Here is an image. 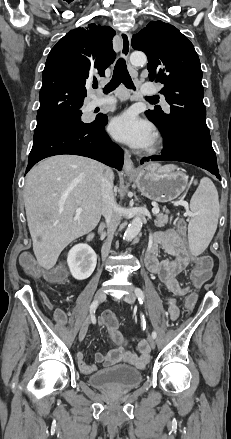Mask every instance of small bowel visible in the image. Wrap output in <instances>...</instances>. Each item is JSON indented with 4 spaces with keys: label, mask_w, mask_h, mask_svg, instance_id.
Segmentation results:
<instances>
[{
    "label": "small bowel",
    "mask_w": 231,
    "mask_h": 439,
    "mask_svg": "<svg viewBox=\"0 0 231 439\" xmlns=\"http://www.w3.org/2000/svg\"><path fill=\"white\" fill-rule=\"evenodd\" d=\"M160 247L163 248L170 258L159 260L158 253ZM190 260L191 256L185 239L179 231L170 229L155 232L147 243L145 265L171 294L167 297L166 303L172 320L177 319L179 316L177 297L188 293V288L178 281L177 276L185 270ZM54 317L60 324L67 322V316L62 309H56ZM100 322L106 328L112 342L115 344V348L107 353H97L95 356L96 362L106 366L125 363L137 368H144L149 360L147 343L143 340L138 343L140 354L137 355L126 349L127 341L118 330V322L113 314H104ZM77 358L82 372L90 374L97 370L95 365L88 364L85 361L83 351L78 352Z\"/></svg>",
    "instance_id": "c3829d8e"
}]
</instances>
